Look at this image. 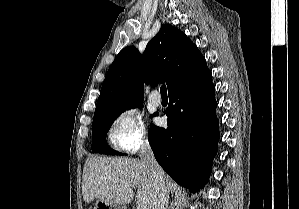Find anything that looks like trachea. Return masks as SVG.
I'll return each instance as SVG.
<instances>
[{
	"label": "trachea",
	"instance_id": "trachea-1",
	"mask_svg": "<svg viewBox=\"0 0 299 209\" xmlns=\"http://www.w3.org/2000/svg\"><path fill=\"white\" fill-rule=\"evenodd\" d=\"M160 93L161 96H167V89H166V85H162L160 88Z\"/></svg>",
	"mask_w": 299,
	"mask_h": 209
}]
</instances>
